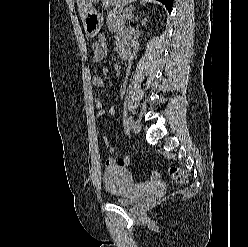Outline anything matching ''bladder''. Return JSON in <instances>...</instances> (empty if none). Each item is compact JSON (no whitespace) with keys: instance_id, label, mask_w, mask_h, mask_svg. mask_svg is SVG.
<instances>
[{"instance_id":"bladder-1","label":"bladder","mask_w":248,"mask_h":247,"mask_svg":"<svg viewBox=\"0 0 248 247\" xmlns=\"http://www.w3.org/2000/svg\"><path fill=\"white\" fill-rule=\"evenodd\" d=\"M103 180L108 195L119 205L130 206L140 197L137 184L127 169L112 167L103 173Z\"/></svg>"}]
</instances>
